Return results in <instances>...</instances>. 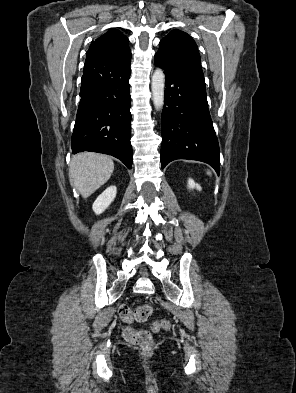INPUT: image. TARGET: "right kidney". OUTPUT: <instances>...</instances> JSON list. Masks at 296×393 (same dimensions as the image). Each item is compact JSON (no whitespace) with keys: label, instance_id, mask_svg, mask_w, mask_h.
I'll return each mask as SVG.
<instances>
[{"label":"right kidney","instance_id":"1","mask_svg":"<svg viewBox=\"0 0 296 393\" xmlns=\"http://www.w3.org/2000/svg\"><path fill=\"white\" fill-rule=\"evenodd\" d=\"M117 188L115 186L108 187L101 195L97 197L93 203L92 209L95 214L99 215L109 207L116 197Z\"/></svg>","mask_w":296,"mask_h":393}]
</instances>
